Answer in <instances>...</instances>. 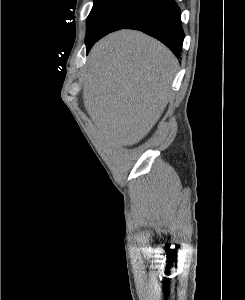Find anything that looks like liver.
Returning a JSON list of instances; mask_svg holds the SVG:
<instances>
[{"label":"liver","mask_w":245,"mask_h":300,"mask_svg":"<svg viewBox=\"0 0 245 300\" xmlns=\"http://www.w3.org/2000/svg\"><path fill=\"white\" fill-rule=\"evenodd\" d=\"M177 69L171 51L139 31L120 30L97 42L83 101L104 138L126 146L142 140L167 106Z\"/></svg>","instance_id":"liver-1"}]
</instances>
